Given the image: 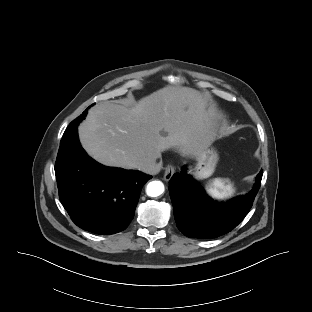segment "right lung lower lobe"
<instances>
[{
  "label": "right lung lower lobe",
  "mask_w": 312,
  "mask_h": 312,
  "mask_svg": "<svg viewBox=\"0 0 312 312\" xmlns=\"http://www.w3.org/2000/svg\"><path fill=\"white\" fill-rule=\"evenodd\" d=\"M55 175L60 201L72 221L96 234L124 230L133 219L143 185L152 178L90 158L78 140L77 127L60 145Z\"/></svg>",
  "instance_id": "1"
}]
</instances>
